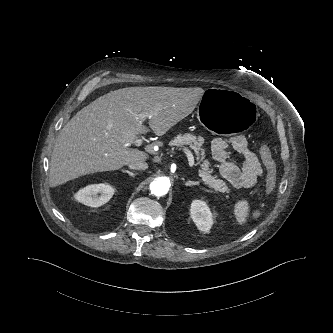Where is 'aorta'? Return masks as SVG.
<instances>
[{
  "label": "aorta",
  "instance_id": "762f6f07",
  "mask_svg": "<svg viewBox=\"0 0 333 333\" xmlns=\"http://www.w3.org/2000/svg\"><path fill=\"white\" fill-rule=\"evenodd\" d=\"M170 187V183L163 177L155 178L150 183L151 193L157 197L164 196L168 193Z\"/></svg>",
  "mask_w": 333,
  "mask_h": 333
}]
</instances>
